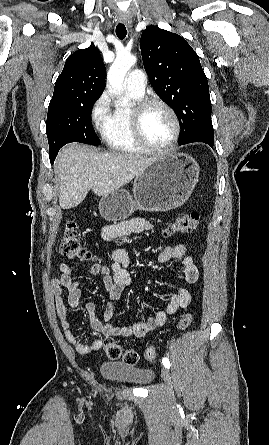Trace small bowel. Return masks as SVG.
I'll return each instance as SVG.
<instances>
[{
	"label": "small bowel",
	"mask_w": 269,
	"mask_h": 445,
	"mask_svg": "<svg viewBox=\"0 0 269 445\" xmlns=\"http://www.w3.org/2000/svg\"><path fill=\"white\" fill-rule=\"evenodd\" d=\"M151 224L144 218L136 217L118 224L107 225L103 227L101 236L103 240H111L133 233H139L150 229ZM110 265L94 263L88 269L91 275L102 277L108 302L104 309V320L96 317V305L93 301L86 303V310L90 317L92 328L105 336L119 337H143L149 332L165 324L167 317L180 309H185L191 302V294L185 288H180L171 294L170 301L164 310L158 311L146 322H136L127 327H116L110 323L114 316V306L112 301L120 298L123 289L132 286L133 279L130 274L132 264L131 258L124 249H116L111 255ZM161 263H167L171 260H181L184 266L185 280L189 284L198 281L199 270L192 257L188 254L185 245L177 244L175 246L165 247L158 257ZM60 277L51 280L50 287L55 297V305L58 317L60 319L65 337L72 344L78 353L87 354L98 351L103 343L97 339L90 344L80 343L74 335V326L69 320L67 305L71 308H77L80 305L82 294L81 285L74 278V272L67 263L59 265Z\"/></svg>",
	"instance_id": "small-bowel-1"
}]
</instances>
